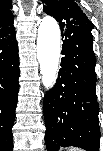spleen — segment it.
<instances>
[{"mask_svg":"<svg viewBox=\"0 0 103 151\" xmlns=\"http://www.w3.org/2000/svg\"><path fill=\"white\" fill-rule=\"evenodd\" d=\"M68 151H83V150L80 148H70Z\"/></svg>","mask_w":103,"mask_h":151,"instance_id":"1","label":"spleen"}]
</instances>
